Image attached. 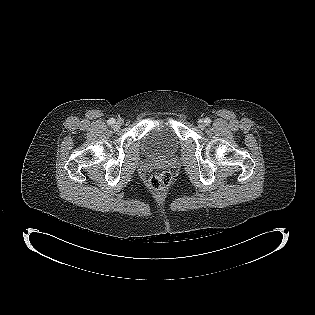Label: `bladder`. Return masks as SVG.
Here are the masks:
<instances>
[{"label": "bladder", "mask_w": 315, "mask_h": 315, "mask_svg": "<svg viewBox=\"0 0 315 315\" xmlns=\"http://www.w3.org/2000/svg\"><path fill=\"white\" fill-rule=\"evenodd\" d=\"M179 147V139L170 125L150 131L143 139V149L152 158H168Z\"/></svg>", "instance_id": "obj_1"}]
</instances>
